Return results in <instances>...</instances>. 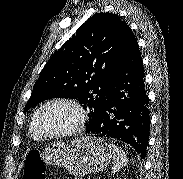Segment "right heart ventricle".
Segmentation results:
<instances>
[{
  "instance_id": "right-heart-ventricle-1",
  "label": "right heart ventricle",
  "mask_w": 183,
  "mask_h": 179,
  "mask_svg": "<svg viewBox=\"0 0 183 179\" xmlns=\"http://www.w3.org/2000/svg\"><path fill=\"white\" fill-rule=\"evenodd\" d=\"M38 110L34 113L31 123H30V128H29L31 137L34 139H37V140L42 138L36 129V116H37Z\"/></svg>"
}]
</instances>
